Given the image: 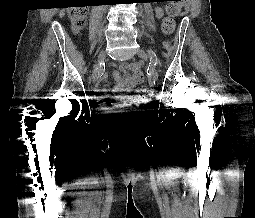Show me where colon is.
I'll return each mask as SVG.
<instances>
[{"label": "colon", "instance_id": "obj_1", "mask_svg": "<svg viewBox=\"0 0 255 218\" xmlns=\"http://www.w3.org/2000/svg\"><path fill=\"white\" fill-rule=\"evenodd\" d=\"M184 0H171L167 6V17L163 23V30L165 33L170 34L174 29V19L181 11ZM69 16L72 22L73 30L79 31L86 21V9L83 7L72 8L69 12ZM147 92L146 89H142L141 93Z\"/></svg>", "mask_w": 255, "mask_h": 218}]
</instances>
